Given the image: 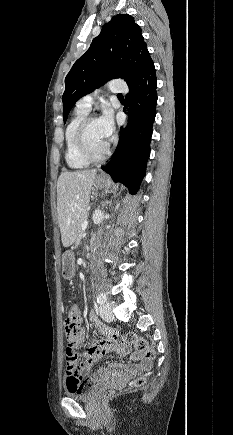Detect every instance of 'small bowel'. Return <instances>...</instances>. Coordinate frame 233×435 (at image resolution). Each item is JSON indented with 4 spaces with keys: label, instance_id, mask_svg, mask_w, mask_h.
<instances>
[{
    "label": "small bowel",
    "instance_id": "c3829d8e",
    "mask_svg": "<svg viewBox=\"0 0 233 435\" xmlns=\"http://www.w3.org/2000/svg\"><path fill=\"white\" fill-rule=\"evenodd\" d=\"M77 312H79L77 306L71 305ZM89 321L91 324L97 327L98 333L101 335L102 339L100 341H91L86 346V352L79 354L78 358L83 359V364L81 369L74 370L70 366H66L65 376H66V384L69 386L70 381L76 377L81 375L84 372H88L91 369V366L104 354L114 351L119 356H129L130 359L135 362V365L132 368L125 369L126 372L133 374L136 373L143 368L147 367V363H145L142 358L134 352H131L128 346L122 345H114L112 350H107L104 347V341L107 338V328L106 326L99 321L97 315L94 312H90ZM86 340V331L84 328H80L78 335L76 337V342L78 344L83 343ZM122 369V365L117 361H111L108 366L102 367L96 371V373L91 377L90 380H97L100 377L107 375L109 372H118Z\"/></svg>",
    "mask_w": 233,
    "mask_h": 435
}]
</instances>
